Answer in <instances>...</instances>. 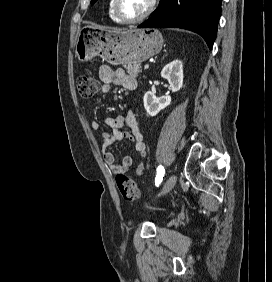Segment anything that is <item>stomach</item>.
I'll return each mask as SVG.
<instances>
[{
	"label": "stomach",
	"instance_id": "stomach-1",
	"mask_svg": "<svg viewBox=\"0 0 272 282\" xmlns=\"http://www.w3.org/2000/svg\"><path fill=\"white\" fill-rule=\"evenodd\" d=\"M162 46V35L156 30L86 26L77 39L75 57L80 62L100 56L112 65H135L159 53Z\"/></svg>",
	"mask_w": 272,
	"mask_h": 282
}]
</instances>
